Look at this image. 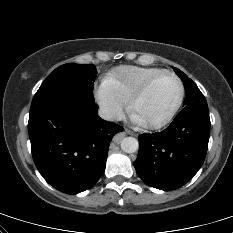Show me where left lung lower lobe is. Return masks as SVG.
<instances>
[{
	"label": "left lung lower lobe",
	"instance_id": "0a47b994",
	"mask_svg": "<svg viewBox=\"0 0 233 233\" xmlns=\"http://www.w3.org/2000/svg\"><path fill=\"white\" fill-rule=\"evenodd\" d=\"M210 125L204 99L186 105L162 132L140 135L134 161L138 176L147 185L164 191L186 184L204 162Z\"/></svg>",
	"mask_w": 233,
	"mask_h": 233
}]
</instances>
